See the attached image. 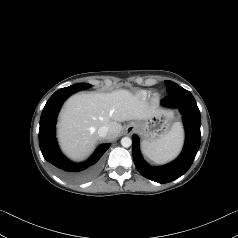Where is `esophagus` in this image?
I'll list each match as a JSON object with an SVG mask.
<instances>
[{
	"label": "esophagus",
	"instance_id": "1",
	"mask_svg": "<svg viewBox=\"0 0 238 238\" xmlns=\"http://www.w3.org/2000/svg\"><path fill=\"white\" fill-rule=\"evenodd\" d=\"M132 126L129 127V130L132 131L133 129L131 128Z\"/></svg>",
	"mask_w": 238,
	"mask_h": 238
}]
</instances>
